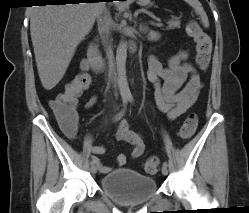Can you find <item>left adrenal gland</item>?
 Returning a JSON list of instances; mask_svg holds the SVG:
<instances>
[{
	"instance_id": "obj_1",
	"label": "left adrenal gland",
	"mask_w": 249,
	"mask_h": 213,
	"mask_svg": "<svg viewBox=\"0 0 249 213\" xmlns=\"http://www.w3.org/2000/svg\"><path fill=\"white\" fill-rule=\"evenodd\" d=\"M139 31L146 34L149 31V28L147 26H145V25L140 24L139 25Z\"/></svg>"
}]
</instances>
